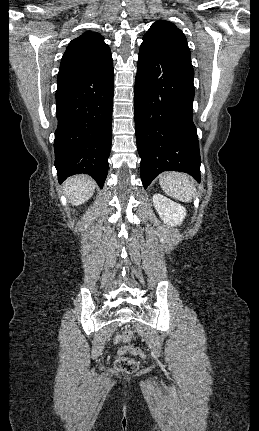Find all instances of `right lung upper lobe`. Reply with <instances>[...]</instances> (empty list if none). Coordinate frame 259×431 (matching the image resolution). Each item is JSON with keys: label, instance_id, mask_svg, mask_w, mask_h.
I'll return each mask as SVG.
<instances>
[{"label": "right lung upper lobe", "instance_id": "obj_1", "mask_svg": "<svg viewBox=\"0 0 259 431\" xmlns=\"http://www.w3.org/2000/svg\"><path fill=\"white\" fill-rule=\"evenodd\" d=\"M111 65V51L104 38L96 32H85L69 43L57 80L101 71Z\"/></svg>", "mask_w": 259, "mask_h": 431}]
</instances>
